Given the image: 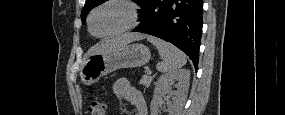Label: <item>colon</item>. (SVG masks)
Wrapping results in <instances>:
<instances>
[{
    "label": "colon",
    "mask_w": 285,
    "mask_h": 115,
    "mask_svg": "<svg viewBox=\"0 0 285 115\" xmlns=\"http://www.w3.org/2000/svg\"><path fill=\"white\" fill-rule=\"evenodd\" d=\"M87 109L90 115H104L106 107L103 102L93 99L88 103Z\"/></svg>",
    "instance_id": "5ec220e1"
}]
</instances>
